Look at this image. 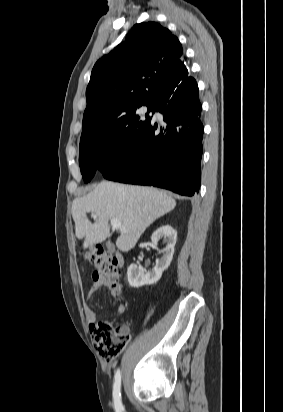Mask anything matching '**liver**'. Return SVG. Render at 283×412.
Returning <instances> with one entry per match:
<instances>
[{"instance_id":"liver-1","label":"liver","mask_w":283,"mask_h":412,"mask_svg":"<svg viewBox=\"0 0 283 412\" xmlns=\"http://www.w3.org/2000/svg\"><path fill=\"white\" fill-rule=\"evenodd\" d=\"M175 206L176 201L158 189L103 181L87 195L76 198L71 213L76 237L84 238V249L105 241L110 233L109 220L115 218L125 229L117 237L116 246L127 252L155 220ZM89 212L95 214L94 223L87 218Z\"/></svg>"}]
</instances>
